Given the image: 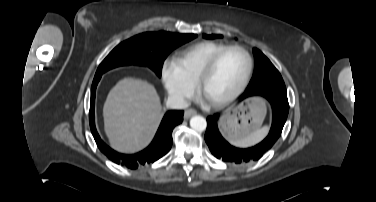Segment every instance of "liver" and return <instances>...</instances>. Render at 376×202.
I'll return each instance as SVG.
<instances>
[{
    "instance_id": "6515ba94",
    "label": "liver",
    "mask_w": 376,
    "mask_h": 202,
    "mask_svg": "<svg viewBox=\"0 0 376 202\" xmlns=\"http://www.w3.org/2000/svg\"><path fill=\"white\" fill-rule=\"evenodd\" d=\"M161 102L155 87L124 78L109 92L103 108L104 129L111 147L122 153L145 148L161 121Z\"/></svg>"
}]
</instances>
